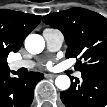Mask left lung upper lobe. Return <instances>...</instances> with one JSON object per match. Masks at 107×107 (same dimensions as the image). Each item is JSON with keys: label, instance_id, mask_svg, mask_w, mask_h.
Returning <instances> with one entry per match:
<instances>
[{"label": "left lung upper lobe", "instance_id": "obj_1", "mask_svg": "<svg viewBox=\"0 0 107 107\" xmlns=\"http://www.w3.org/2000/svg\"><path fill=\"white\" fill-rule=\"evenodd\" d=\"M43 22L58 28L68 45L66 58H78L81 73L107 76V19L83 8L51 13Z\"/></svg>", "mask_w": 107, "mask_h": 107}]
</instances>
